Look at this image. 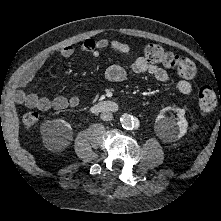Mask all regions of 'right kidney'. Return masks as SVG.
<instances>
[{
    "label": "right kidney",
    "instance_id": "right-kidney-1",
    "mask_svg": "<svg viewBox=\"0 0 221 221\" xmlns=\"http://www.w3.org/2000/svg\"><path fill=\"white\" fill-rule=\"evenodd\" d=\"M41 134L45 143L51 148L61 149L72 139V128L62 119L46 121L41 126Z\"/></svg>",
    "mask_w": 221,
    "mask_h": 221
}]
</instances>
